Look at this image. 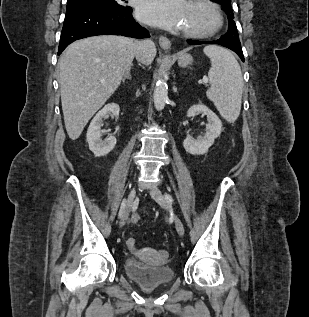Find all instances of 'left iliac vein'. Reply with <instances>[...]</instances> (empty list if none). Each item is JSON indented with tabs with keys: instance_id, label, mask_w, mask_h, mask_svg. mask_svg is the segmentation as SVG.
Here are the masks:
<instances>
[{
	"instance_id": "obj_1",
	"label": "left iliac vein",
	"mask_w": 309,
	"mask_h": 317,
	"mask_svg": "<svg viewBox=\"0 0 309 317\" xmlns=\"http://www.w3.org/2000/svg\"><path fill=\"white\" fill-rule=\"evenodd\" d=\"M150 195L161 207L168 210L170 209L167 200L165 199V197L163 196L162 192L159 190L158 187L156 186L151 187ZM174 224L178 234L180 236H183L185 233L184 225L177 216H174Z\"/></svg>"
}]
</instances>
